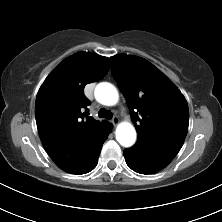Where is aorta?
Segmentation results:
<instances>
[{
  "mask_svg": "<svg viewBox=\"0 0 222 222\" xmlns=\"http://www.w3.org/2000/svg\"><path fill=\"white\" fill-rule=\"evenodd\" d=\"M96 100L106 106H113L118 102V92L116 88L107 82L98 84L95 88ZM116 139L124 147H130L136 140V131L132 124L122 122L117 126Z\"/></svg>",
  "mask_w": 222,
  "mask_h": 222,
  "instance_id": "obj_1",
  "label": "aorta"
}]
</instances>
